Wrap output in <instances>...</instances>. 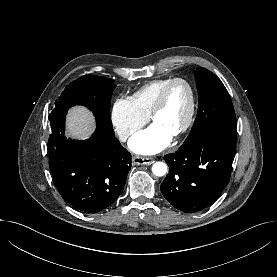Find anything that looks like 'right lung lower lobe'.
<instances>
[{"label": "right lung lower lobe", "mask_w": 277, "mask_h": 277, "mask_svg": "<svg viewBox=\"0 0 277 277\" xmlns=\"http://www.w3.org/2000/svg\"><path fill=\"white\" fill-rule=\"evenodd\" d=\"M66 112L50 120V170L65 201L83 212L96 213L122 193L131 154L114 137L113 128L99 121L88 140H67L63 135Z\"/></svg>", "instance_id": "right-lung-lower-lobe-1"}]
</instances>
